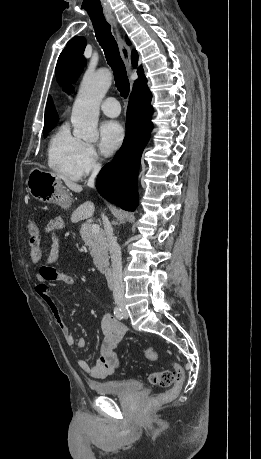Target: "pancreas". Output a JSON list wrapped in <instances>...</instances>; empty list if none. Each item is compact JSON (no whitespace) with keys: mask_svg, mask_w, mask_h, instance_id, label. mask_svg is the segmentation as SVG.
I'll return each mask as SVG.
<instances>
[{"mask_svg":"<svg viewBox=\"0 0 261 459\" xmlns=\"http://www.w3.org/2000/svg\"><path fill=\"white\" fill-rule=\"evenodd\" d=\"M80 235L85 245L89 247L95 266L103 269L108 264V247L104 232L93 233L90 224H82Z\"/></svg>","mask_w":261,"mask_h":459,"instance_id":"pancreas-1","label":"pancreas"}]
</instances>
